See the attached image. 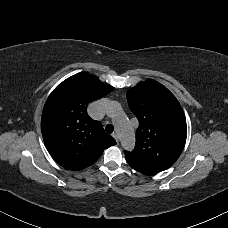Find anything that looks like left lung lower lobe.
Listing matches in <instances>:
<instances>
[{"instance_id": "0a47b994", "label": "left lung lower lobe", "mask_w": 228, "mask_h": 228, "mask_svg": "<svg viewBox=\"0 0 228 228\" xmlns=\"http://www.w3.org/2000/svg\"><path fill=\"white\" fill-rule=\"evenodd\" d=\"M126 157V160L128 162V164L134 168L135 170L145 174V175H152V174H155V173H158L160 172L161 170L159 169H156V168H153V167H150V166H147V165H144V164H141V163H138V162H135L133 160H131L129 157L125 156Z\"/></svg>"}]
</instances>
